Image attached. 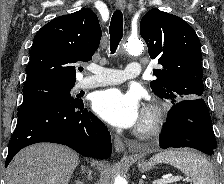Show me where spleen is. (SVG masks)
<instances>
[{
    "label": "spleen",
    "mask_w": 224,
    "mask_h": 184,
    "mask_svg": "<svg viewBox=\"0 0 224 184\" xmlns=\"http://www.w3.org/2000/svg\"><path fill=\"white\" fill-rule=\"evenodd\" d=\"M170 164L191 177L193 184H215L211 164L202 155L189 149L169 150L150 158L149 165Z\"/></svg>",
    "instance_id": "spleen-1"
}]
</instances>
